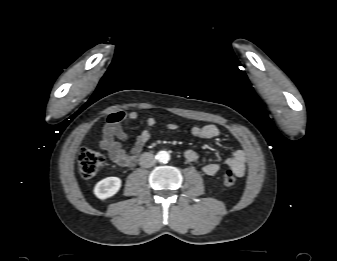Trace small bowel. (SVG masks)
Wrapping results in <instances>:
<instances>
[{
    "mask_svg": "<svg viewBox=\"0 0 337 261\" xmlns=\"http://www.w3.org/2000/svg\"><path fill=\"white\" fill-rule=\"evenodd\" d=\"M138 118L136 111L115 112L108 116L107 123L103 130L101 139V148L106 150L109 157L116 164L123 167H132L136 163L137 154L144 145L151 139L152 128L156 125L153 117L146 119L147 128L136 136L129 135L122 126L123 121H133ZM166 130L174 131L178 128L175 123H168L164 126ZM191 134L200 139H212L219 135V129L208 124L204 126H195L191 129ZM123 144H127L125 148ZM184 157L188 162L194 163L198 160V154L195 150L188 149L184 152ZM221 164L228 166L237 177H242L246 170V154L243 150H236L231 157L225 158L222 162H210L203 167V172L208 176L215 175Z\"/></svg>",
    "mask_w": 337,
    "mask_h": 261,
    "instance_id": "obj_1",
    "label": "small bowel"
}]
</instances>
